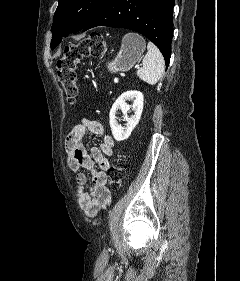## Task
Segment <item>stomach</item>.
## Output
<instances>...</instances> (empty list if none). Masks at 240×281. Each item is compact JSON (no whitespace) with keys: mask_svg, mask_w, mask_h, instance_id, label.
<instances>
[{"mask_svg":"<svg viewBox=\"0 0 240 281\" xmlns=\"http://www.w3.org/2000/svg\"><path fill=\"white\" fill-rule=\"evenodd\" d=\"M145 49L144 39L136 33H128L122 39L121 49L112 61L106 63L108 71H128L140 59Z\"/></svg>","mask_w":240,"mask_h":281,"instance_id":"1","label":"stomach"}]
</instances>
